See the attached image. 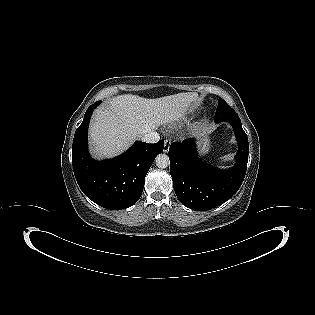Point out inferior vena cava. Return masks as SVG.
<instances>
[{"mask_svg": "<svg viewBox=\"0 0 315 315\" xmlns=\"http://www.w3.org/2000/svg\"><path fill=\"white\" fill-rule=\"evenodd\" d=\"M159 139H160V136L155 131L148 132L141 137V140L146 143H156L159 141Z\"/></svg>", "mask_w": 315, "mask_h": 315, "instance_id": "602c4592", "label": "inferior vena cava"}]
</instances>
